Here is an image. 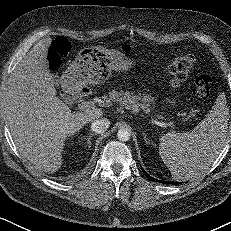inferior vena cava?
I'll return each instance as SVG.
<instances>
[{
    "instance_id": "602c4592",
    "label": "inferior vena cava",
    "mask_w": 231,
    "mask_h": 231,
    "mask_svg": "<svg viewBox=\"0 0 231 231\" xmlns=\"http://www.w3.org/2000/svg\"><path fill=\"white\" fill-rule=\"evenodd\" d=\"M110 126V121L107 118L97 119L92 122L91 130L97 134L104 133Z\"/></svg>"
}]
</instances>
